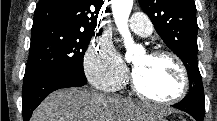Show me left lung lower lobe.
Returning <instances> with one entry per match:
<instances>
[{
	"mask_svg": "<svg viewBox=\"0 0 217 121\" xmlns=\"http://www.w3.org/2000/svg\"><path fill=\"white\" fill-rule=\"evenodd\" d=\"M173 107L189 113L196 121H203L205 109L199 106L197 97L193 93H189L181 102L173 105Z\"/></svg>",
	"mask_w": 217,
	"mask_h": 121,
	"instance_id": "0a47b994",
	"label": "left lung lower lobe"
}]
</instances>
